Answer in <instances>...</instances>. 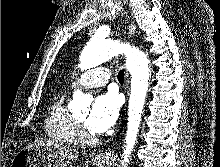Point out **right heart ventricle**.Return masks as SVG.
Returning <instances> with one entry per match:
<instances>
[{
  "mask_svg": "<svg viewBox=\"0 0 220 167\" xmlns=\"http://www.w3.org/2000/svg\"><path fill=\"white\" fill-rule=\"evenodd\" d=\"M44 131L47 137L57 145L77 144L74 116L67 108L63 94H58L51 100L44 121Z\"/></svg>",
  "mask_w": 220,
  "mask_h": 167,
  "instance_id": "right-heart-ventricle-1",
  "label": "right heart ventricle"
}]
</instances>
